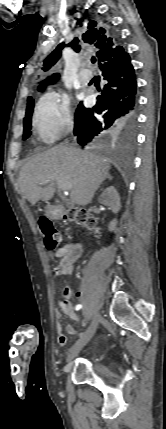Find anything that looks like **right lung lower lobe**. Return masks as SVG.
Returning <instances> with one entry per match:
<instances>
[{"label":"right lung lower lobe","mask_w":166,"mask_h":429,"mask_svg":"<svg viewBox=\"0 0 166 429\" xmlns=\"http://www.w3.org/2000/svg\"><path fill=\"white\" fill-rule=\"evenodd\" d=\"M99 64L107 84L92 109L80 102L75 112L74 135L81 146L104 131L127 135L136 125L137 84L130 56L124 49L122 54Z\"/></svg>","instance_id":"obj_1"}]
</instances>
